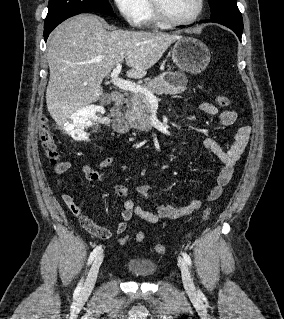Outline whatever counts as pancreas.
Wrapping results in <instances>:
<instances>
[{
    "label": "pancreas",
    "mask_w": 284,
    "mask_h": 319,
    "mask_svg": "<svg viewBox=\"0 0 284 319\" xmlns=\"http://www.w3.org/2000/svg\"><path fill=\"white\" fill-rule=\"evenodd\" d=\"M183 77L182 82H178V78ZM187 79L184 74L179 72H165L154 79H146L142 87L146 88L153 94H177L186 90ZM125 117L134 129L140 131L151 130L150 125V102L142 93L132 92L131 97L127 101Z\"/></svg>",
    "instance_id": "pancreas-1"
}]
</instances>
